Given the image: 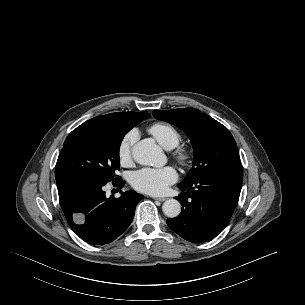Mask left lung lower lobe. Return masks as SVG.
I'll return each mask as SVG.
<instances>
[{"instance_id": "left-lung-lower-lobe-1", "label": "left lung lower lobe", "mask_w": 305, "mask_h": 305, "mask_svg": "<svg viewBox=\"0 0 305 305\" xmlns=\"http://www.w3.org/2000/svg\"><path fill=\"white\" fill-rule=\"evenodd\" d=\"M242 186L241 168L207 174L193 183L179 184L182 204L168 226L185 240L202 243L214 239L229 223Z\"/></svg>"}]
</instances>
